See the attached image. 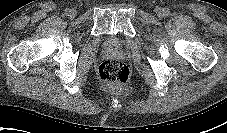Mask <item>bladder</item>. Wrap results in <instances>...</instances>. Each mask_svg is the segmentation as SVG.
Wrapping results in <instances>:
<instances>
[{
	"mask_svg": "<svg viewBox=\"0 0 227 133\" xmlns=\"http://www.w3.org/2000/svg\"><path fill=\"white\" fill-rule=\"evenodd\" d=\"M120 43L117 39H114V38H109L107 41H106V46L108 48H117L119 47Z\"/></svg>",
	"mask_w": 227,
	"mask_h": 133,
	"instance_id": "31cf9c89",
	"label": "bladder"
}]
</instances>
